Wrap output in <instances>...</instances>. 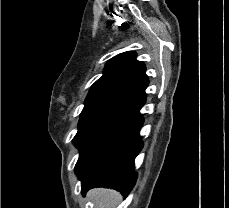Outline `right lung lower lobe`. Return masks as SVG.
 Here are the masks:
<instances>
[{
    "label": "right lung lower lobe",
    "mask_w": 229,
    "mask_h": 208,
    "mask_svg": "<svg viewBox=\"0 0 229 208\" xmlns=\"http://www.w3.org/2000/svg\"><path fill=\"white\" fill-rule=\"evenodd\" d=\"M143 122L140 115L86 156L75 169L82 182V193L95 187L115 189L124 197L131 192L137 180L134 160L143 147L139 135Z\"/></svg>",
    "instance_id": "1"
}]
</instances>
